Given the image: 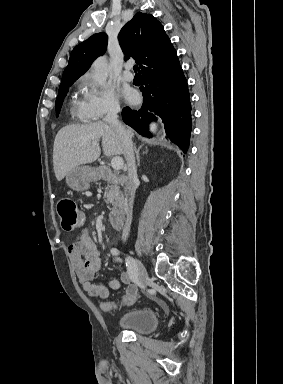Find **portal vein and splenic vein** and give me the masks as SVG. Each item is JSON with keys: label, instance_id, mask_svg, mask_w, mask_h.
<instances>
[{"label": "portal vein and splenic vein", "instance_id": "portal-vein-and-splenic-vein-1", "mask_svg": "<svg viewBox=\"0 0 283 384\" xmlns=\"http://www.w3.org/2000/svg\"><path fill=\"white\" fill-rule=\"evenodd\" d=\"M111 166L113 170H122L123 168L122 158H119V156H115V158H112Z\"/></svg>", "mask_w": 283, "mask_h": 384}]
</instances>
